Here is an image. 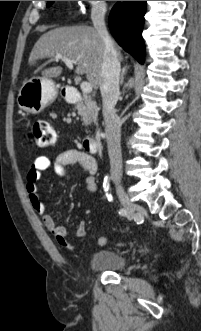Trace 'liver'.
I'll return each instance as SVG.
<instances>
[{"mask_svg": "<svg viewBox=\"0 0 201 331\" xmlns=\"http://www.w3.org/2000/svg\"><path fill=\"white\" fill-rule=\"evenodd\" d=\"M119 60H123L120 48L113 42ZM104 44L95 28L89 26L60 27L43 34L34 45L29 64L44 58L61 54L76 63L75 72L85 74L88 82L96 90L102 83L101 67ZM62 67H52L42 71L44 78H56L62 73Z\"/></svg>", "mask_w": 201, "mask_h": 331, "instance_id": "6515ba94", "label": "liver"}]
</instances>
